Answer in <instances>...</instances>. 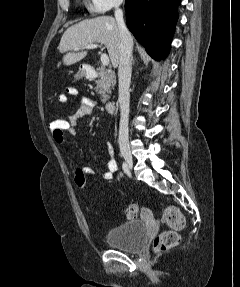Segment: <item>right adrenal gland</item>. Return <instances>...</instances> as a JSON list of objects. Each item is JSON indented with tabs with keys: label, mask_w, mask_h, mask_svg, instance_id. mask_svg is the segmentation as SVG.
Here are the masks:
<instances>
[{
	"label": "right adrenal gland",
	"mask_w": 240,
	"mask_h": 287,
	"mask_svg": "<svg viewBox=\"0 0 240 287\" xmlns=\"http://www.w3.org/2000/svg\"><path fill=\"white\" fill-rule=\"evenodd\" d=\"M131 64H133V56L131 57Z\"/></svg>",
	"instance_id": "1"
}]
</instances>
